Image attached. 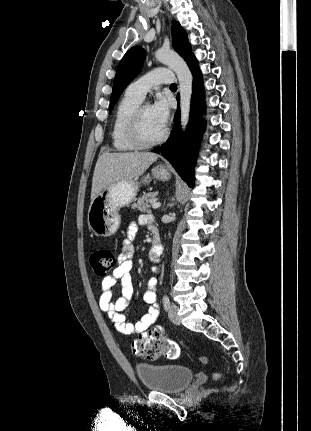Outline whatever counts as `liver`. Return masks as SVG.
Returning <instances> with one entry per match:
<instances>
[{"label": "liver", "instance_id": "6515ba94", "mask_svg": "<svg viewBox=\"0 0 311 431\" xmlns=\"http://www.w3.org/2000/svg\"><path fill=\"white\" fill-rule=\"evenodd\" d=\"M157 154L150 152H123V154H102L93 172L90 200L104 188L121 180H138L151 164L157 162Z\"/></svg>", "mask_w": 311, "mask_h": 431}]
</instances>
